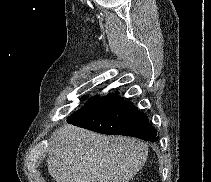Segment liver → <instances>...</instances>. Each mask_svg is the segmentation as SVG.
Masks as SVG:
<instances>
[{
  "instance_id": "1",
  "label": "liver",
  "mask_w": 211,
  "mask_h": 182,
  "mask_svg": "<svg viewBox=\"0 0 211 182\" xmlns=\"http://www.w3.org/2000/svg\"><path fill=\"white\" fill-rule=\"evenodd\" d=\"M147 156L148 146L139 139L64 125L53 141L47 164L55 182H129Z\"/></svg>"
}]
</instances>
